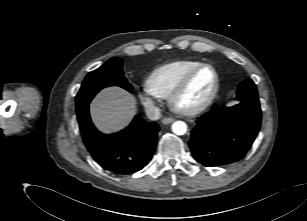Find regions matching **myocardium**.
<instances>
[{
  "instance_id": "myocardium-1",
  "label": "myocardium",
  "mask_w": 307,
  "mask_h": 221,
  "mask_svg": "<svg viewBox=\"0 0 307 221\" xmlns=\"http://www.w3.org/2000/svg\"><path fill=\"white\" fill-rule=\"evenodd\" d=\"M206 68H210L214 75H215V82L214 87L209 94V96L200 104L190 107V108H182L179 105L180 99L183 97V95L186 93L188 88L190 87L193 80L196 78V76ZM220 88V76L217 71V69L208 63H204L200 65L199 67L192 70L182 81L181 83L176 87V89L172 92V94L168 98V103L171 108V110L177 114L185 115V116H194L197 115L203 111H205L215 100L218 91Z\"/></svg>"
}]
</instances>
